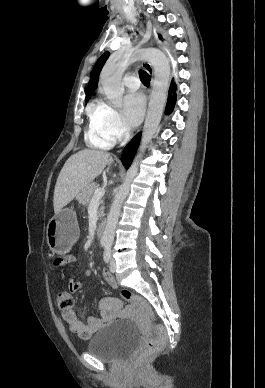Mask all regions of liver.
<instances>
[{
  "label": "liver",
  "mask_w": 265,
  "mask_h": 388,
  "mask_svg": "<svg viewBox=\"0 0 265 388\" xmlns=\"http://www.w3.org/2000/svg\"><path fill=\"white\" fill-rule=\"evenodd\" d=\"M113 162L111 154L102 150H81L70 156L57 178L53 200L55 214L74 200L82 188L92 184L104 168Z\"/></svg>",
  "instance_id": "obj_1"
}]
</instances>
